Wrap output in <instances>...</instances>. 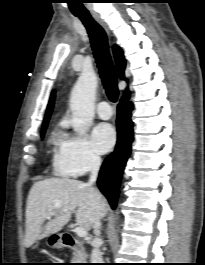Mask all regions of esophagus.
<instances>
[{"label":"esophagus","instance_id":"1","mask_svg":"<svg viewBox=\"0 0 205 265\" xmlns=\"http://www.w3.org/2000/svg\"><path fill=\"white\" fill-rule=\"evenodd\" d=\"M92 16L106 30V32L109 34L108 27H107L106 23L104 22V20L99 16V14L93 12Z\"/></svg>","mask_w":205,"mask_h":265}]
</instances>
